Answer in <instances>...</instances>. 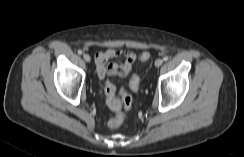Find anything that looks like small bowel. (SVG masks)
<instances>
[{
  "instance_id": "obj_1",
  "label": "small bowel",
  "mask_w": 244,
  "mask_h": 157,
  "mask_svg": "<svg viewBox=\"0 0 244 157\" xmlns=\"http://www.w3.org/2000/svg\"><path fill=\"white\" fill-rule=\"evenodd\" d=\"M123 58L120 62H111L112 59ZM136 61V55L131 51L120 49H106L95 54L96 70L100 80L106 76H128Z\"/></svg>"
}]
</instances>
